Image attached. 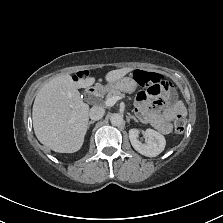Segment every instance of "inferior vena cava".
Returning a JSON list of instances; mask_svg holds the SVG:
<instances>
[{
    "mask_svg": "<svg viewBox=\"0 0 223 223\" xmlns=\"http://www.w3.org/2000/svg\"><path fill=\"white\" fill-rule=\"evenodd\" d=\"M104 113H105L104 108L100 106H93L90 109L89 116L92 120H99L103 117Z\"/></svg>",
    "mask_w": 223,
    "mask_h": 223,
    "instance_id": "inferior-vena-cava-1",
    "label": "inferior vena cava"
}]
</instances>
